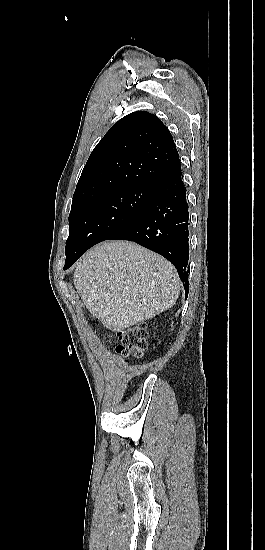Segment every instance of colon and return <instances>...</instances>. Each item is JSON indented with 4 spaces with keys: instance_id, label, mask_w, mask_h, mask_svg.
<instances>
[{
    "instance_id": "obj_1",
    "label": "colon",
    "mask_w": 265,
    "mask_h": 550,
    "mask_svg": "<svg viewBox=\"0 0 265 550\" xmlns=\"http://www.w3.org/2000/svg\"><path fill=\"white\" fill-rule=\"evenodd\" d=\"M120 344L116 352L129 357H141L146 349L147 328L145 324H139L124 331L118 332Z\"/></svg>"
}]
</instances>
